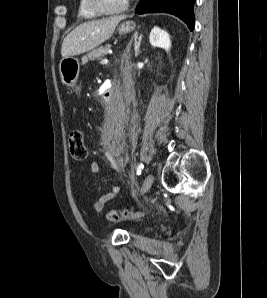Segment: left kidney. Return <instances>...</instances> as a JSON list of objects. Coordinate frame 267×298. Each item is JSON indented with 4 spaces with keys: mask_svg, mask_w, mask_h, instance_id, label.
Wrapping results in <instances>:
<instances>
[{
    "mask_svg": "<svg viewBox=\"0 0 267 298\" xmlns=\"http://www.w3.org/2000/svg\"><path fill=\"white\" fill-rule=\"evenodd\" d=\"M149 41L153 47L162 48L167 53L171 49V40L169 34L157 26L151 30Z\"/></svg>",
    "mask_w": 267,
    "mask_h": 298,
    "instance_id": "5707ae66",
    "label": "left kidney"
}]
</instances>
